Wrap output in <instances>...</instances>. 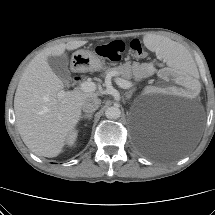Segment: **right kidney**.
Wrapping results in <instances>:
<instances>
[{"label": "right kidney", "instance_id": "1", "mask_svg": "<svg viewBox=\"0 0 215 215\" xmlns=\"http://www.w3.org/2000/svg\"><path fill=\"white\" fill-rule=\"evenodd\" d=\"M77 138V131H73L67 140L68 145L72 146Z\"/></svg>", "mask_w": 215, "mask_h": 215}]
</instances>
